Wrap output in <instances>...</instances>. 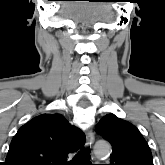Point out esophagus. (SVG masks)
<instances>
[{
	"instance_id": "34e87169",
	"label": "esophagus",
	"mask_w": 165,
	"mask_h": 165,
	"mask_svg": "<svg viewBox=\"0 0 165 165\" xmlns=\"http://www.w3.org/2000/svg\"><path fill=\"white\" fill-rule=\"evenodd\" d=\"M94 133L92 132V130H88L87 132V140H86V147H91L94 143Z\"/></svg>"
}]
</instances>
